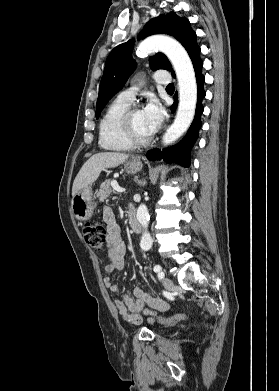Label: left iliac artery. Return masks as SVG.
<instances>
[{"label":"left iliac artery","instance_id":"1","mask_svg":"<svg viewBox=\"0 0 279 391\" xmlns=\"http://www.w3.org/2000/svg\"><path fill=\"white\" fill-rule=\"evenodd\" d=\"M154 272L157 273L159 279L164 278V273L162 272V268H161L160 265H155V266H154Z\"/></svg>","mask_w":279,"mask_h":391}]
</instances>
